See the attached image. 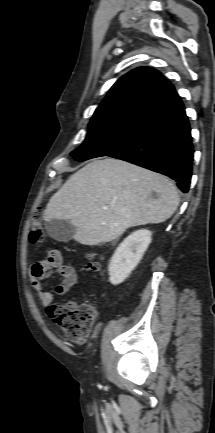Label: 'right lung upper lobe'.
<instances>
[{
    "label": "right lung upper lobe",
    "instance_id": "right-lung-upper-lobe-1",
    "mask_svg": "<svg viewBox=\"0 0 215 433\" xmlns=\"http://www.w3.org/2000/svg\"><path fill=\"white\" fill-rule=\"evenodd\" d=\"M178 97L171 83L149 67L136 68L112 86L91 122L126 117H148Z\"/></svg>",
    "mask_w": 215,
    "mask_h": 433
}]
</instances>
